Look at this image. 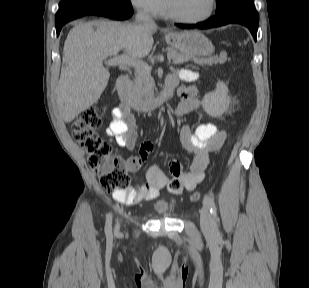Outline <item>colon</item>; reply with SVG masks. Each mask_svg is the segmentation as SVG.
Wrapping results in <instances>:
<instances>
[{
    "instance_id": "obj_1",
    "label": "colon",
    "mask_w": 309,
    "mask_h": 288,
    "mask_svg": "<svg viewBox=\"0 0 309 288\" xmlns=\"http://www.w3.org/2000/svg\"><path fill=\"white\" fill-rule=\"evenodd\" d=\"M102 125L99 108L90 106L82 110L71 125L73 139L87 154V163L106 192L124 193L129 187V174L122 158L97 133ZM170 191V190H169ZM201 194L193 192L190 200L199 201Z\"/></svg>"
}]
</instances>
